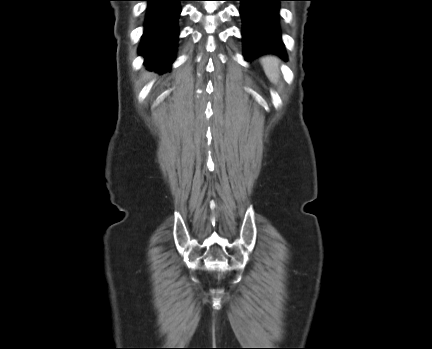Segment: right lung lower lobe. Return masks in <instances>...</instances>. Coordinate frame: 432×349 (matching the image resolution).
I'll use <instances>...</instances> for the list:
<instances>
[{
  "instance_id": "1",
  "label": "right lung lower lobe",
  "mask_w": 432,
  "mask_h": 349,
  "mask_svg": "<svg viewBox=\"0 0 432 349\" xmlns=\"http://www.w3.org/2000/svg\"><path fill=\"white\" fill-rule=\"evenodd\" d=\"M148 11L139 52L151 69L164 72L175 57L177 20L182 0H146Z\"/></svg>"
}]
</instances>
